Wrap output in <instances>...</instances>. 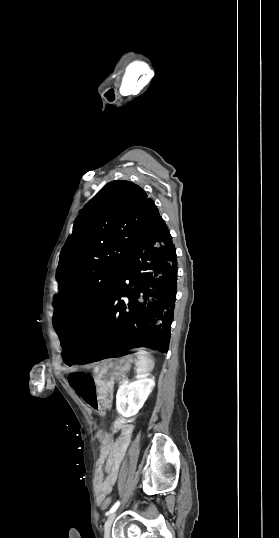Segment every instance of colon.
Masks as SVG:
<instances>
[{"label":"colon","mask_w":279,"mask_h":538,"mask_svg":"<svg viewBox=\"0 0 279 538\" xmlns=\"http://www.w3.org/2000/svg\"><path fill=\"white\" fill-rule=\"evenodd\" d=\"M105 440H106L107 442L112 441V435L107 434L106 437H105ZM110 503H111L110 498H109V497H106V498L102 501V507H103L104 509H106V508L110 505Z\"/></svg>","instance_id":"obj_1"}]
</instances>
